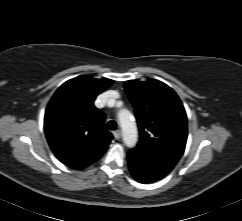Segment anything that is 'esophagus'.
Instances as JSON below:
<instances>
[{"label":"esophagus","instance_id":"obj_1","mask_svg":"<svg viewBox=\"0 0 242 221\" xmlns=\"http://www.w3.org/2000/svg\"><path fill=\"white\" fill-rule=\"evenodd\" d=\"M113 135H114V138L118 140L121 137V131L116 130V131L113 132Z\"/></svg>","mask_w":242,"mask_h":221}]
</instances>
